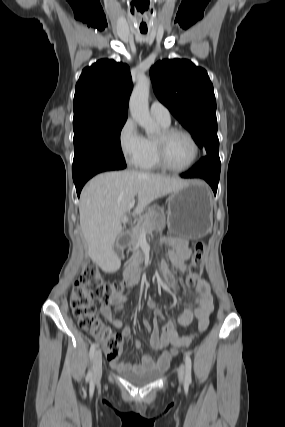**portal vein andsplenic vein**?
Masks as SVG:
<instances>
[{
    "mask_svg": "<svg viewBox=\"0 0 285 427\" xmlns=\"http://www.w3.org/2000/svg\"><path fill=\"white\" fill-rule=\"evenodd\" d=\"M135 205V200H131V202L128 204L126 211H130L131 208H133V206Z\"/></svg>",
    "mask_w": 285,
    "mask_h": 427,
    "instance_id": "18ae733b",
    "label": "portal vein and splenic vein"
}]
</instances>
